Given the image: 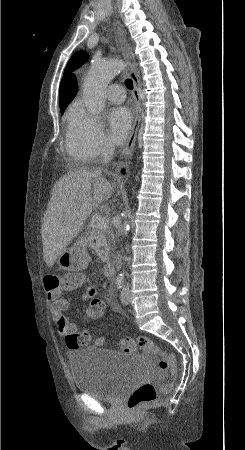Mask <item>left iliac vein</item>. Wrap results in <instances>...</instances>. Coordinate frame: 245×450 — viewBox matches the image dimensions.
<instances>
[{
	"instance_id": "obj_1",
	"label": "left iliac vein",
	"mask_w": 245,
	"mask_h": 450,
	"mask_svg": "<svg viewBox=\"0 0 245 450\" xmlns=\"http://www.w3.org/2000/svg\"><path fill=\"white\" fill-rule=\"evenodd\" d=\"M121 302L124 305H128L130 303V287H129V285L125 286V288L121 292Z\"/></svg>"
}]
</instances>
